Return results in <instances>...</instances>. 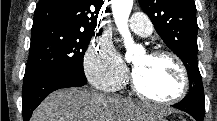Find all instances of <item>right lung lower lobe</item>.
<instances>
[{"label":"right lung lower lobe","instance_id":"98d812e1","mask_svg":"<svg viewBox=\"0 0 217 121\" xmlns=\"http://www.w3.org/2000/svg\"><path fill=\"white\" fill-rule=\"evenodd\" d=\"M87 82L85 76H79L66 69L54 68L39 71L23 79L22 112L24 121H29L34 109L51 92L66 87H80Z\"/></svg>","mask_w":217,"mask_h":121}]
</instances>
